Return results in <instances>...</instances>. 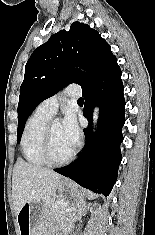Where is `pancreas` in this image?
Returning a JSON list of instances; mask_svg holds the SVG:
<instances>
[{
	"mask_svg": "<svg viewBox=\"0 0 155 235\" xmlns=\"http://www.w3.org/2000/svg\"><path fill=\"white\" fill-rule=\"evenodd\" d=\"M46 212L48 215L61 219L62 217L68 216L71 220H75V215L72 213H68L65 205L60 199H52L49 201H45Z\"/></svg>",
	"mask_w": 155,
	"mask_h": 235,
	"instance_id": "1",
	"label": "pancreas"
}]
</instances>
